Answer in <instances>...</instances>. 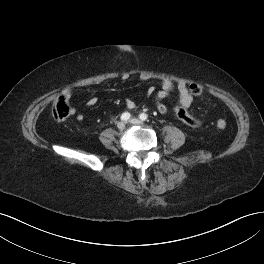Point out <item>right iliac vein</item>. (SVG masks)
Instances as JSON below:
<instances>
[{
	"mask_svg": "<svg viewBox=\"0 0 264 264\" xmlns=\"http://www.w3.org/2000/svg\"><path fill=\"white\" fill-rule=\"evenodd\" d=\"M117 128L119 129V130H124L125 129V123L124 122H119L118 124H117Z\"/></svg>",
	"mask_w": 264,
	"mask_h": 264,
	"instance_id": "obj_1",
	"label": "right iliac vein"
}]
</instances>
